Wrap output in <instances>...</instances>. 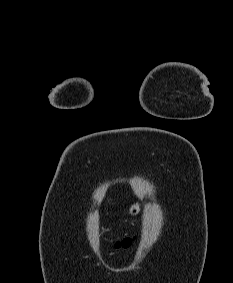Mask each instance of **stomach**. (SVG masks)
Here are the masks:
<instances>
[{
  "label": "stomach",
  "mask_w": 233,
  "mask_h": 283,
  "mask_svg": "<svg viewBox=\"0 0 233 283\" xmlns=\"http://www.w3.org/2000/svg\"><path fill=\"white\" fill-rule=\"evenodd\" d=\"M140 212V204L136 203L133 204L130 208L131 215H137Z\"/></svg>",
  "instance_id": "0dacf381"
}]
</instances>
